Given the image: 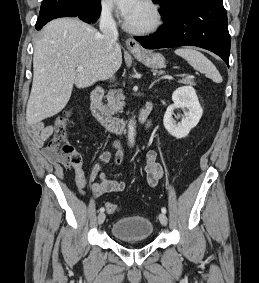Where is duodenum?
<instances>
[{"label":"duodenum","instance_id":"410a0bca","mask_svg":"<svg viewBox=\"0 0 259 283\" xmlns=\"http://www.w3.org/2000/svg\"><path fill=\"white\" fill-rule=\"evenodd\" d=\"M103 90L95 88L90 95L91 111L96 119L104 126V128L113 133H121L124 131L127 121L115 116H112L102 104ZM139 120L145 122L147 113L142 110L139 115Z\"/></svg>","mask_w":259,"mask_h":283}]
</instances>
